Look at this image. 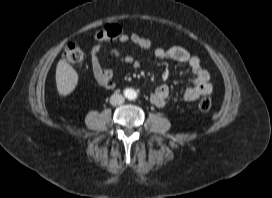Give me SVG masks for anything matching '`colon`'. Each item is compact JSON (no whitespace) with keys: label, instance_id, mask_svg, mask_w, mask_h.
Returning a JSON list of instances; mask_svg holds the SVG:
<instances>
[{"label":"colon","instance_id":"5ec220e1","mask_svg":"<svg viewBox=\"0 0 272 198\" xmlns=\"http://www.w3.org/2000/svg\"><path fill=\"white\" fill-rule=\"evenodd\" d=\"M124 33V28L119 24H108L102 29H99L94 34V39L99 42L112 41L121 37ZM63 58L74 65L81 64L85 59V54L82 48L76 43H69L66 45ZM212 106V99L210 96H204L200 99L198 107L201 111L206 112Z\"/></svg>","mask_w":272,"mask_h":198}]
</instances>
